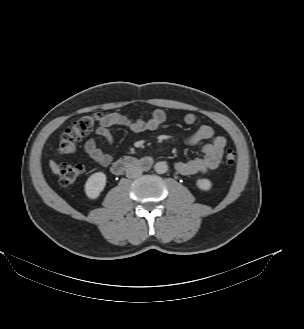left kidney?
I'll return each instance as SVG.
<instances>
[{
  "instance_id": "left-kidney-1",
  "label": "left kidney",
  "mask_w": 304,
  "mask_h": 329,
  "mask_svg": "<svg viewBox=\"0 0 304 329\" xmlns=\"http://www.w3.org/2000/svg\"><path fill=\"white\" fill-rule=\"evenodd\" d=\"M196 185L199 189L203 191H208L212 187V183L209 179H198Z\"/></svg>"
}]
</instances>
